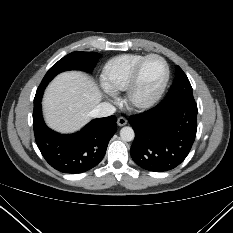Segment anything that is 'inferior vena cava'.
<instances>
[{
    "mask_svg": "<svg viewBox=\"0 0 233 233\" xmlns=\"http://www.w3.org/2000/svg\"><path fill=\"white\" fill-rule=\"evenodd\" d=\"M116 111L115 107L108 103L102 102L99 103L91 112L90 116L95 118L107 117L114 114Z\"/></svg>",
    "mask_w": 233,
    "mask_h": 233,
    "instance_id": "inferior-vena-cava-1",
    "label": "inferior vena cava"
}]
</instances>
